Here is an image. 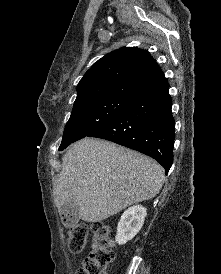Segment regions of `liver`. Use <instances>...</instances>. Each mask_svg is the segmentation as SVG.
<instances>
[{"instance_id":"obj_1","label":"liver","mask_w":221,"mask_h":274,"mask_svg":"<svg viewBox=\"0 0 221 274\" xmlns=\"http://www.w3.org/2000/svg\"><path fill=\"white\" fill-rule=\"evenodd\" d=\"M163 182L164 169L155 160L106 140L84 138L62 159L54 202L59 209L75 202L80 219L99 222L152 199Z\"/></svg>"}]
</instances>
